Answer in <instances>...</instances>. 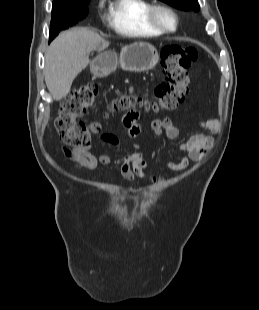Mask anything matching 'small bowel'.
Here are the masks:
<instances>
[{"mask_svg": "<svg viewBox=\"0 0 259 310\" xmlns=\"http://www.w3.org/2000/svg\"><path fill=\"white\" fill-rule=\"evenodd\" d=\"M138 117L139 113L132 111L125 114L121 120L125 136L130 140L137 138L143 132L142 126L137 121ZM199 125L203 130L212 133H217L221 127L219 121L214 119L203 120ZM150 127L154 135H164L169 140H174L179 134L178 128L173 124L171 119L167 117L154 119ZM98 139L116 150L121 149L122 139L116 134L105 132L100 134ZM213 143L214 139L210 135L203 133L192 135L179 146V149L185 153V156L177 162L167 163L165 165L166 168L172 171H182L186 169L191 161L200 160L213 146ZM61 152L65 158L73 162L74 167L77 169L94 171L100 166L108 165L111 161V157L107 153H103L98 157L95 156L92 153V146L76 149L62 148ZM116 170L122 178L130 182L136 179H144L155 183L165 179L164 177L152 176L147 173L146 158L141 152H134L122 156L116 162Z\"/></svg>", "mask_w": 259, "mask_h": 310, "instance_id": "small-bowel-1", "label": "small bowel"}]
</instances>
